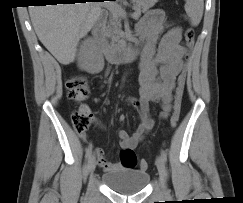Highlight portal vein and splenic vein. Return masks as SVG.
Instances as JSON below:
<instances>
[{
  "label": "portal vein and splenic vein",
  "instance_id": "18ae733b",
  "mask_svg": "<svg viewBox=\"0 0 243 203\" xmlns=\"http://www.w3.org/2000/svg\"><path fill=\"white\" fill-rule=\"evenodd\" d=\"M107 9H109L111 12H117L119 13L121 16H125L126 12L125 10L118 4H106ZM133 18H138L137 13H133L131 15Z\"/></svg>",
  "mask_w": 243,
  "mask_h": 203
}]
</instances>
